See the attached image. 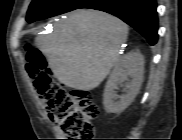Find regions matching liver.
<instances>
[{"mask_svg":"<svg viewBox=\"0 0 182 140\" xmlns=\"http://www.w3.org/2000/svg\"><path fill=\"white\" fill-rule=\"evenodd\" d=\"M128 26L108 13L77 9L55 24L50 35L35 38L48 67L66 86L90 91L119 61Z\"/></svg>","mask_w":182,"mask_h":140,"instance_id":"obj_1","label":"liver"}]
</instances>
